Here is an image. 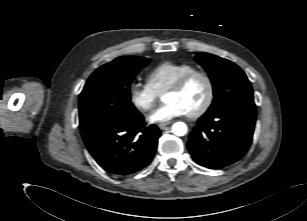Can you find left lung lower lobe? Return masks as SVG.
<instances>
[{"instance_id": "0a47b994", "label": "left lung lower lobe", "mask_w": 307, "mask_h": 221, "mask_svg": "<svg viewBox=\"0 0 307 221\" xmlns=\"http://www.w3.org/2000/svg\"><path fill=\"white\" fill-rule=\"evenodd\" d=\"M255 121L254 100H236L208 110L189 134L187 146L193 160L210 169L237 162L250 147Z\"/></svg>"}]
</instances>
